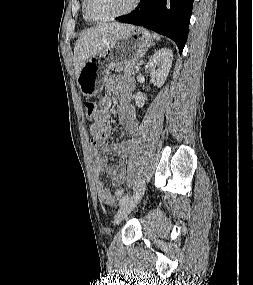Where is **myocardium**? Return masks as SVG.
<instances>
[{
	"label": "myocardium",
	"mask_w": 253,
	"mask_h": 285,
	"mask_svg": "<svg viewBox=\"0 0 253 285\" xmlns=\"http://www.w3.org/2000/svg\"><path fill=\"white\" fill-rule=\"evenodd\" d=\"M140 1L141 0H133L131 5L127 9H125L124 11L119 12L117 14L107 16V17H103V18H94V17L90 16V14L88 12V8H87L88 0H83V12H84L85 17L91 22H106V21H111V20L117 19L119 17L125 16V15L131 13L133 10L136 9V7L139 5Z\"/></svg>",
	"instance_id": "f54148a6"
}]
</instances>
